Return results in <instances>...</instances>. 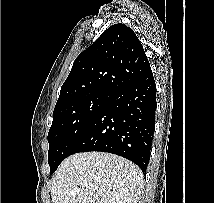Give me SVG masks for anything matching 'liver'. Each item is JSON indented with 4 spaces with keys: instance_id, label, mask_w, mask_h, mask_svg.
<instances>
[{
    "instance_id": "1",
    "label": "liver",
    "mask_w": 214,
    "mask_h": 203,
    "mask_svg": "<svg viewBox=\"0 0 214 203\" xmlns=\"http://www.w3.org/2000/svg\"><path fill=\"white\" fill-rule=\"evenodd\" d=\"M144 177L131 161L106 152L66 158L55 172L53 203H137ZM79 190V194H72Z\"/></svg>"
}]
</instances>
